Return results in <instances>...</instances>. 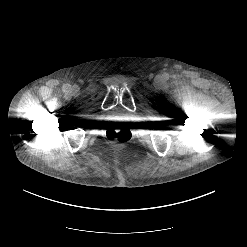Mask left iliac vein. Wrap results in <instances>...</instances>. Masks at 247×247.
<instances>
[{"mask_svg": "<svg viewBox=\"0 0 247 247\" xmlns=\"http://www.w3.org/2000/svg\"><path fill=\"white\" fill-rule=\"evenodd\" d=\"M161 82V78L160 77H157L156 78V83H160Z\"/></svg>", "mask_w": 247, "mask_h": 247, "instance_id": "obj_1", "label": "left iliac vein"}]
</instances>
